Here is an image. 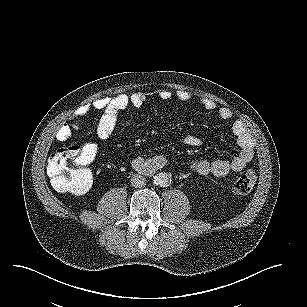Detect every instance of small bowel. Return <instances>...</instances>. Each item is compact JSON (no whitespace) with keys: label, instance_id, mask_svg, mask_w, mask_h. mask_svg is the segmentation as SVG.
Wrapping results in <instances>:
<instances>
[{"label":"small bowel","instance_id":"1","mask_svg":"<svg viewBox=\"0 0 307 307\" xmlns=\"http://www.w3.org/2000/svg\"><path fill=\"white\" fill-rule=\"evenodd\" d=\"M175 96L180 102L187 103L191 100V94L187 91H177L173 94L170 90H161L159 97L168 100ZM144 93H133L130 95L122 94L113 98H102L93 103L85 104L71 115L68 122L64 123L57 132V140L61 143L67 142L74 131L79 130L83 119L89 113L91 108L100 110L102 115L97 126V135L100 139H108L116 126L120 113L129 106L141 107L146 102ZM202 107L208 111H214L218 117L225 121H231V131L236 137L237 144L240 148L239 153L230 160H215L213 162L198 161L192 165V169L200 175H213L222 177L230 172H240L245 166L251 162L254 157V143L251 135L248 133L245 125L233 119V112L227 107H219L213 100L209 98H201ZM183 143L190 146L201 145V140L193 135H185L182 138ZM98 152V146L94 142L83 145L82 155L85 162L89 165L93 162ZM162 156L145 160L138 157L134 161L135 168L154 170L164 165Z\"/></svg>","mask_w":307,"mask_h":307}]
</instances>
